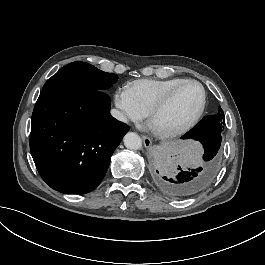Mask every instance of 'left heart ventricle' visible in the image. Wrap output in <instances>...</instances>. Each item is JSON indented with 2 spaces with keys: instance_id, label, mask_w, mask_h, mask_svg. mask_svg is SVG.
I'll list each match as a JSON object with an SVG mask.
<instances>
[{
  "instance_id": "b2bd125f",
  "label": "left heart ventricle",
  "mask_w": 265,
  "mask_h": 265,
  "mask_svg": "<svg viewBox=\"0 0 265 265\" xmlns=\"http://www.w3.org/2000/svg\"><path fill=\"white\" fill-rule=\"evenodd\" d=\"M202 91L195 83L185 84L173 101L157 116L155 127L159 130L177 128L188 121L198 110Z\"/></svg>"
}]
</instances>
